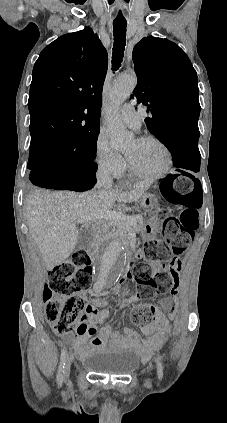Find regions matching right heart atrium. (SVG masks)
<instances>
[{
  "label": "right heart atrium",
  "instance_id": "d8ad5b80",
  "mask_svg": "<svg viewBox=\"0 0 227 423\" xmlns=\"http://www.w3.org/2000/svg\"><path fill=\"white\" fill-rule=\"evenodd\" d=\"M94 157L98 167L114 177L123 176L127 170L125 157L112 148L108 137L102 132L95 140Z\"/></svg>",
  "mask_w": 227,
  "mask_h": 423
}]
</instances>
